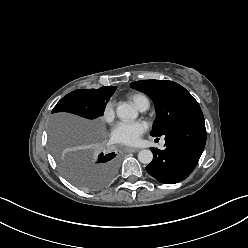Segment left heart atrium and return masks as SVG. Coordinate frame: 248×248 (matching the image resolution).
Returning <instances> with one entry per match:
<instances>
[{"instance_id": "39dd6f15", "label": "left heart atrium", "mask_w": 248, "mask_h": 248, "mask_svg": "<svg viewBox=\"0 0 248 248\" xmlns=\"http://www.w3.org/2000/svg\"><path fill=\"white\" fill-rule=\"evenodd\" d=\"M145 129V124L140 121H120L112 128L111 137L117 143L135 145Z\"/></svg>"}]
</instances>
